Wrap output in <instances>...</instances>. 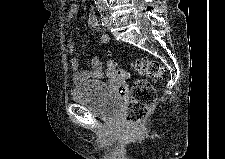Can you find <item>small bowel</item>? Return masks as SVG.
Listing matches in <instances>:
<instances>
[{
	"instance_id": "small-bowel-1",
	"label": "small bowel",
	"mask_w": 225,
	"mask_h": 159,
	"mask_svg": "<svg viewBox=\"0 0 225 159\" xmlns=\"http://www.w3.org/2000/svg\"><path fill=\"white\" fill-rule=\"evenodd\" d=\"M78 11H79L78 5L76 4L71 5L68 11V19L74 18L76 14L78 13ZM88 25L92 29L99 31L98 22H97L96 16L93 13H90L88 16ZM100 41L103 45H108L110 41L109 36L107 34L101 33ZM67 52L70 55L74 53V44L71 39L68 40V43H67ZM69 65L71 70L73 71V77H72L73 82L76 85L81 84L85 81L101 79L104 77H107L112 81L117 80L108 75L106 68L104 67L102 61L98 57H94L91 59V62H90L91 68L87 71L79 70V62L74 57L70 59Z\"/></svg>"
}]
</instances>
